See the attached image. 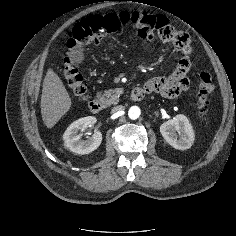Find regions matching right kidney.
Listing matches in <instances>:
<instances>
[{
	"mask_svg": "<svg viewBox=\"0 0 236 236\" xmlns=\"http://www.w3.org/2000/svg\"><path fill=\"white\" fill-rule=\"evenodd\" d=\"M96 123L93 116L83 117L74 121L63 134L64 146L70 151L79 154H89L96 150L102 142V134L95 132L91 137L82 140V134H78L81 130L91 127Z\"/></svg>",
	"mask_w": 236,
	"mask_h": 236,
	"instance_id": "right-kidney-1",
	"label": "right kidney"
}]
</instances>
